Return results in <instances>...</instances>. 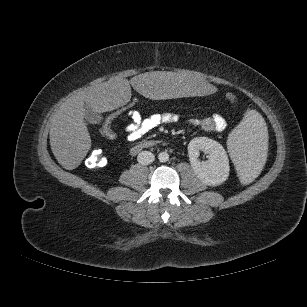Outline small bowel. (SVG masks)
<instances>
[{"instance_id": "small-bowel-1", "label": "small bowel", "mask_w": 307, "mask_h": 307, "mask_svg": "<svg viewBox=\"0 0 307 307\" xmlns=\"http://www.w3.org/2000/svg\"><path fill=\"white\" fill-rule=\"evenodd\" d=\"M178 122L179 117L175 113H154L144 118L139 111L134 110L126 119L124 133L128 141L134 142L161 126L172 125ZM187 124L189 126H200L209 132H222L227 127L225 118L220 114H214L203 120L192 119Z\"/></svg>"}]
</instances>
